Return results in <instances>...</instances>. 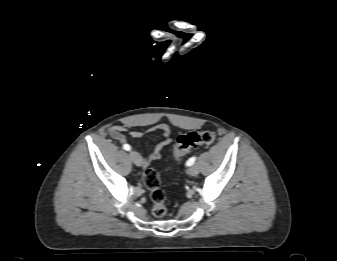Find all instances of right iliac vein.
Masks as SVG:
<instances>
[{
	"label": "right iliac vein",
	"mask_w": 337,
	"mask_h": 261,
	"mask_svg": "<svg viewBox=\"0 0 337 261\" xmlns=\"http://www.w3.org/2000/svg\"><path fill=\"white\" fill-rule=\"evenodd\" d=\"M130 158L136 166L140 167L142 165V160H141V156H140L139 153H137L135 151H131L130 152Z\"/></svg>",
	"instance_id": "1"
}]
</instances>
